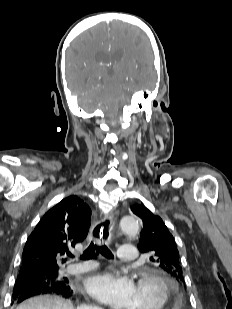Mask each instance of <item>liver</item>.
<instances>
[{
    "instance_id": "obj_1",
    "label": "liver",
    "mask_w": 232,
    "mask_h": 309,
    "mask_svg": "<svg viewBox=\"0 0 232 309\" xmlns=\"http://www.w3.org/2000/svg\"><path fill=\"white\" fill-rule=\"evenodd\" d=\"M16 309H75L70 301L58 296L43 295L30 298Z\"/></svg>"
}]
</instances>
